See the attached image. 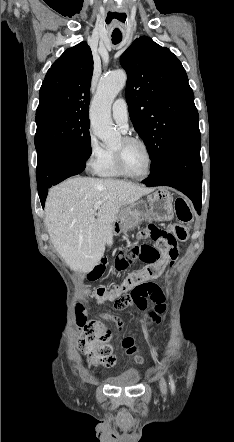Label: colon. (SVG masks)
<instances>
[{
	"label": "colon",
	"instance_id": "5ec220e1",
	"mask_svg": "<svg viewBox=\"0 0 234 442\" xmlns=\"http://www.w3.org/2000/svg\"><path fill=\"white\" fill-rule=\"evenodd\" d=\"M175 212L179 223L174 224L169 229L160 230L154 225H149L144 230L154 240V246L141 244L127 248L119 253L114 261V269L117 272L128 268L136 259L148 265L144 269L131 274L120 285L111 289H96L93 292V297L98 302L111 301L116 309L135 307L139 310H144L147 306V297H150L156 304L155 311L150 313V317L152 318L153 315L164 311L165 304L163 294L159 289L149 287L147 281L158 278L163 271L164 267L158 263V258L162 254L170 253L177 241H185L188 238V227L192 222L193 213L185 199L181 197L176 199ZM103 270L104 261L90 272V278H98L103 273ZM117 320H115V322ZM79 322L80 326L84 325L82 318H80ZM107 336L108 335L101 336V341L96 346H92L94 340L90 332H85L81 338V346L86 349L92 362L109 365L114 361L110 348L106 343ZM125 342H128L127 339ZM151 350H154V347H151ZM152 354H155V351H152Z\"/></svg>",
	"mask_w": 234,
	"mask_h": 442
}]
</instances>
